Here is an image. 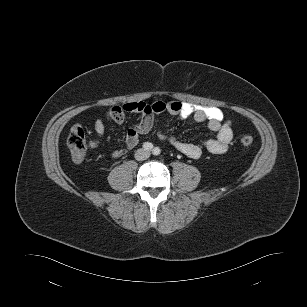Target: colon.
I'll return each mask as SVG.
<instances>
[{"instance_id": "colon-1", "label": "colon", "mask_w": 307, "mask_h": 307, "mask_svg": "<svg viewBox=\"0 0 307 307\" xmlns=\"http://www.w3.org/2000/svg\"><path fill=\"white\" fill-rule=\"evenodd\" d=\"M239 144L242 147H250L253 144V137L249 134H243L239 138ZM68 147L75 161H82L88 149V143L83 127L74 125L68 136Z\"/></svg>"}]
</instances>
